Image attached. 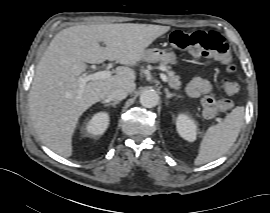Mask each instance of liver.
<instances>
[{"label": "liver", "mask_w": 270, "mask_h": 213, "mask_svg": "<svg viewBox=\"0 0 270 213\" xmlns=\"http://www.w3.org/2000/svg\"><path fill=\"white\" fill-rule=\"evenodd\" d=\"M169 30V26L127 23L77 25L57 33L37 65L29 95V113L42 142L55 153L70 157L80 116L114 89L133 92L136 75L131 67ZM101 41L105 47L99 45ZM105 60L124 66L118 67L114 76L89 81L79 95L76 79L87 69L86 63Z\"/></svg>", "instance_id": "liver-1"}]
</instances>
